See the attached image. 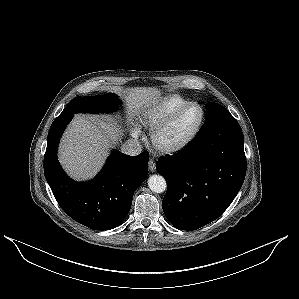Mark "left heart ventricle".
<instances>
[{
  "mask_svg": "<svg viewBox=\"0 0 299 299\" xmlns=\"http://www.w3.org/2000/svg\"><path fill=\"white\" fill-rule=\"evenodd\" d=\"M200 119V108L197 106L188 107L158 136V143L163 147L182 143L195 130Z\"/></svg>",
  "mask_w": 299,
  "mask_h": 299,
  "instance_id": "left-heart-ventricle-1",
  "label": "left heart ventricle"
}]
</instances>
